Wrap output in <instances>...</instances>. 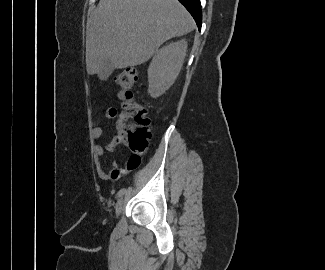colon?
Listing matches in <instances>:
<instances>
[{"label": "colon", "mask_w": 325, "mask_h": 270, "mask_svg": "<svg viewBox=\"0 0 325 270\" xmlns=\"http://www.w3.org/2000/svg\"><path fill=\"white\" fill-rule=\"evenodd\" d=\"M137 79L138 72L135 68H127L115 78L116 83L121 87L119 96L123 108L118 122L117 139L126 144L131 152L127 162L129 170L137 168L141 163L150 138V120L146 108L134 99L133 88Z\"/></svg>", "instance_id": "colon-1"}]
</instances>
